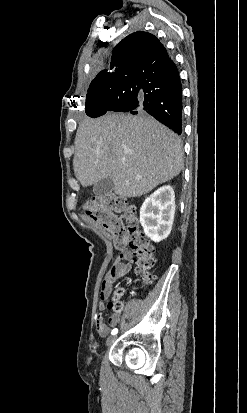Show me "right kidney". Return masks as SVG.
<instances>
[{
	"mask_svg": "<svg viewBox=\"0 0 247 413\" xmlns=\"http://www.w3.org/2000/svg\"><path fill=\"white\" fill-rule=\"evenodd\" d=\"M175 213V194L170 184L160 186L145 198L140 209V223L151 241L160 243L172 231Z\"/></svg>",
	"mask_w": 247,
	"mask_h": 413,
	"instance_id": "obj_1",
	"label": "right kidney"
}]
</instances>
